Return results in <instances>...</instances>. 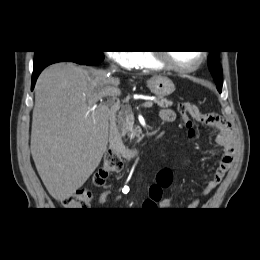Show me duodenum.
<instances>
[{
  "mask_svg": "<svg viewBox=\"0 0 260 260\" xmlns=\"http://www.w3.org/2000/svg\"><path fill=\"white\" fill-rule=\"evenodd\" d=\"M109 141L111 151L125 160L135 159L141 154V150L139 148H129L121 142L112 114L110 116Z\"/></svg>",
  "mask_w": 260,
  "mask_h": 260,
  "instance_id": "duodenum-1",
  "label": "duodenum"
}]
</instances>
